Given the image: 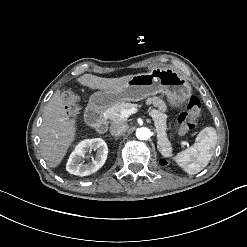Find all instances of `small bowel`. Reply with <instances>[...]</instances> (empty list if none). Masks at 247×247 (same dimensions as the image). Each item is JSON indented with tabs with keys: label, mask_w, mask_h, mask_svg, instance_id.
Masks as SVG:
<instances>
[{
	"label": "small bowel",
	"mask_w": 247,
	"mask_h": 247,
	"mask_svg": "<svg viewBox=\"0 0 247 247\" xmlns=\"http://www.w3.org/2000/svg\"><path fill=\"white\" fill-rule=\"evenodd\" d=\"M148 104L156 107L157 109H159L160 111H164L166 109V104L165 102L161 99V98H158V97H153V98H150L148 100Z\"/></svg>",
	"instance_id": "1"
}]
</instances>
